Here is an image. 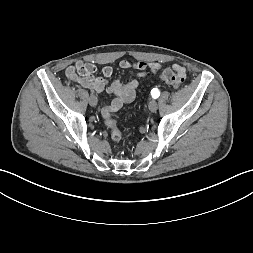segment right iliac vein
Listing matches in <instances>:
<instances>
[{"instance_id":"63e3f726","label":"right iliac vein","mask_w":253,"mask_h":253,"mask_svg":"<svg viewBox=\"0 0 253 253\" xmlns=\"http://www.w3.org/2000/svg\"><path fill=\"white\" fill-rule=\"evenodd\" d=\"M97 103H98L97 97L95 95L90 96L89 104L94 107L97 105Z\"/></svg>"}]
</instances>
